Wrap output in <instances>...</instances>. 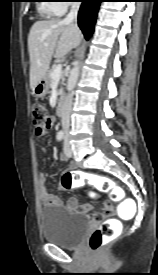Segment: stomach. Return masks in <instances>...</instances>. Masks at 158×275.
<instances>
[{
  "instance_id": "0dacf381",
  "label": "stomach",
  "mask_w": 158,
  "mask_h": 275,
  "mask_svg": "<svg viewBox=\"0 0 158 275\" xmlns=\"http://www.w3.org/2000/svg\"><path fill=\"white\" fill-rule=\"evenodd\" d=\"M49 89V83H48V78L47 74L45 75L44 78H42L34 87L33 93L36 97H44Z\"/></svg>"
}]
</instances>
